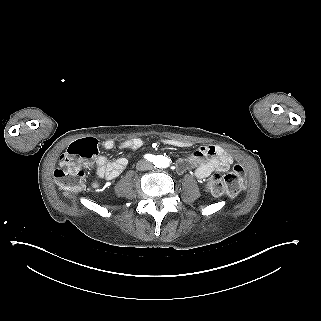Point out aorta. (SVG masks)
<instances>
[{"instance_id":"obj_1","label":"aorta","mask_w":321,"mask_h":321,"mask_svg":"<svg viewBox=\"0 0 321 321\" xmlns=\"http://www.w3.org/2000/svg\"><path fill=\"white\" fill-rule=\"evenodd\" d=\"M169 165V160L168 159H165L164 161V167L168 166Z\"/></svg>"}]
</instances>
